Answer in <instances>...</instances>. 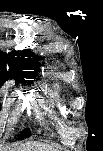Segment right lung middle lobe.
Masks as SVG:
<instances>
[{
	"label": "right lung middle lobe",
	"instance_id": "right-lung-middle-lobe-1",
	"mask_svg": "<svg viewBox=\"0 0 103 151\" xmlns=\"http://www.w3.org/2000/svg\"><path fill=\"white\" fill-rule=\"evenodd\" d=\"M4 81L0 80V84H3ZM27 83H31L30 82H27ZM30 135V130L26 129L22 132V134L20 135V138L19 139H22V138H25V137H28Z\"/></svg>",
	"mask_w": 103,
	"mask_h": 151
}]
</instances>
